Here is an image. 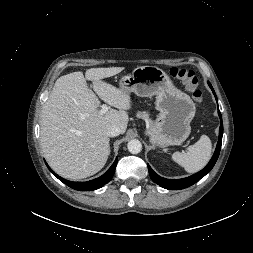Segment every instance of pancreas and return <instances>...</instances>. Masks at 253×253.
Masks as SVG:
<instances>
[{"label": "pancreas", "instance_id": "obj_1", "mask_svg": "<svg viewBox=\"0 0 253 253\" xmlns=\"http://www.w3.org/2000/svg\"><path fill=\"white\" fill-rule=\"evenodd\" d=\"M137 116H138L139 118L144 119L146 122L151 123V120H150V118H149V114H148L147 112H139V113L137 114Z\"/></svg>", "mask_w": 253, "mask_h": 253}]
</instances>
